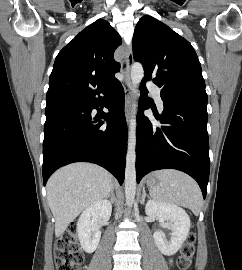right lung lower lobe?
Segmentation results:
<instances>
[{
  "mask_svg": "<svg viewBox=\"0 0 242 270\" xmlns=\"http://www.w3.org/2000/svg\"><path fill=\"white\" fill-rule=\"evenodd\" d=\"M108 113L94 116L101 96ZM43 141V182L58 168L73 162H91L111 172L120 184L124 181L127 152V126L124 90L116 80L92 94L46 105ZM100 119L107 120L104 125Z\"/></svg>",
  "mask_w": 242,
  "mask_h": 270,
  "instance_id": "1",
  "label": "right lung lower lobe"
}]
</instances>
